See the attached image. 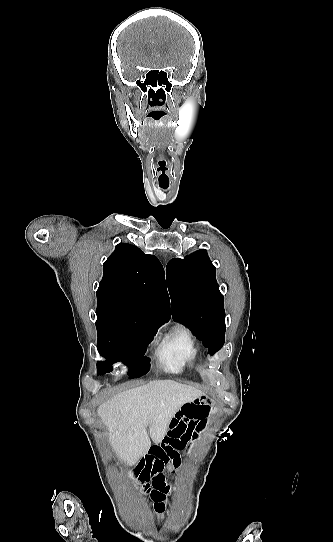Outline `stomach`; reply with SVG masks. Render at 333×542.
Listing matches in <instances>:
<instances>
[{
  "mask_svg": "<svg viewBox=\"0 0 333 542\" xmlns=\"http://www.w3.org/2000/svg\"><path fill=\"white\" fill-rule=\"evenodd\" d=\"M190 400H202V402H203V404H204V402H205V400H206V396H204V394H203V396H199V398H195V399L192 398V399H190Z\"/></svg>",
  "mask_w": 333,
  "mask_h": 542,
  "instance_id": "0dacf381",
  "label": "stomach"
}]
</instances>
